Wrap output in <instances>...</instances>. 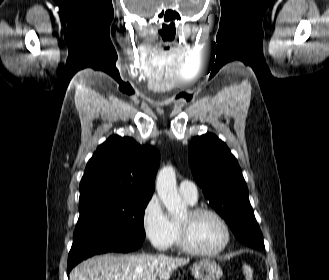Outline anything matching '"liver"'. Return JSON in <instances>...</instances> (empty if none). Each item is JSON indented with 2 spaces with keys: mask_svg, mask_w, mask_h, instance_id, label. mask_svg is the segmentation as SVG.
Returning a JSON list of instances; mask_svg holds the SVG:
<instances>
[{
  "mask_svg": "<svg viewBox=\"0 0 329 280\" xmlns=\"http://www.w3.org/2000/svg\"><path fill=\"white\" fill-rule=\"evenodd\" d=\"M189 259L166 255H113L92 257L75 267L70 280H169Z\"/></svg>",
  "mask_w": 329,
  "mask_h": 280,
  "instance_id": "6515ba94",
  "label": "liver"
}]
</instances>
